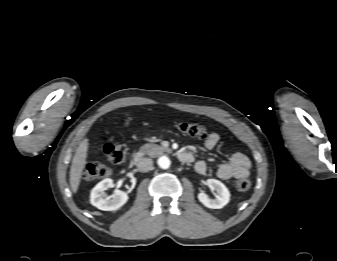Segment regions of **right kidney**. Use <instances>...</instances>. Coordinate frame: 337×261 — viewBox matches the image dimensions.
I'll use <instances>...</instances> for the list:
<instances>
[{
  "instance_id": "1",
  "label": "right kidney",
  "mask_w": 337,
  "mask_h": 261,
  "mask_svg": "<svg viewBox=\"0 0 337 261\" xmlns=\"http://www.w3.org/2000/svg\"><path fill=\"white\" fill-rule=\"evenodd\" d=\"M113 186V180L110 178L99 182L91 191V204L104 211L117 210L123 206L128 200L127 193L116 189L111 196L106 195L105 191Z\"/></svg>"
}]
</instances>
